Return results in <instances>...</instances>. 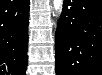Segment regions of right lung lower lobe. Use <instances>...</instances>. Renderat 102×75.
Returning a JSON list of instances; mask_svg holds the SVG:
<instances>
[{"label": "right lung lower lobe", "mask_w": 102, "mask_h": 75, "mask_svg": "<svg viewBox=\"0 0 102 75\" xmlns=\"http://www.w3.org/2000/svg\"><path fill=\"white\" fill-rule=\"evenodd\" d=\"M29 0L0 3V70L2 75H25L27 68Z\"/></svg>", "instance_id": "1"}]
</instances>
